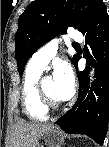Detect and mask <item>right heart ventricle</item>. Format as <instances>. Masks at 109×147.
<instances>
[{"mask_svg":"<svg viewBox=\"0 0 109 147\" xmlns=\"http://www.w3.org/2000/svg\"><path fill=\"white\" fill-rule=\"evenodd\" d=\"M41 72V70L28 65L23 75L21 88L24 113L35 121H43L48 117V110L43 107L38 93Z\"/></svg>","mask_w":109,"mask_h":147,"instance_id":"right-heart-ventricle-1","label":"right heart ventricle"}]
</instances>
